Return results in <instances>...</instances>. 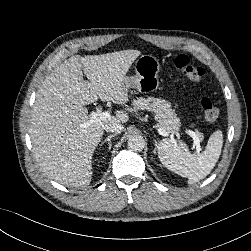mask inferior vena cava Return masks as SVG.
Returning a JSON list of instances; mask_svg holds the SVG:
<instances>
[{
    "label": "inferior vena cava",
    "instance_id": "inferior-vena-cava-1",
    "mask_svg": "<svg viewBox=\"0 0 251 251\" xmlns=\"http://www.w3.org/2000/svg\"><path fill=\"white\" fill-rule=\"evenodd\" d=\"M124 127L120 123H109L104 126V130L107 132L121 133Z\"/></svg>",
    "mask_w": 251,
    "mask_h": 251
}]
</instances>
